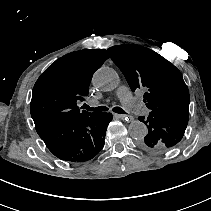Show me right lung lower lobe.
I'll list each match as a JSON object with an SVG mask.
<instances>
[{
    "instance_id": "obj_1",
    "label": "right lung lower lobe",
    "mask_w": 211,
    "mask_h": 211,
    "mask_svg": "<svg viewBox=\"0 0 211 211\" xmlns=\"http://www.w3.org/2000/svg\"><path fill=\"white\" fill-rule=\"evenodd\" d=\"M111 120V113H92L79 120L58 125L39 136L57 158L69 162H85L103 148Z\"/></svg>"
}]
</instances>
